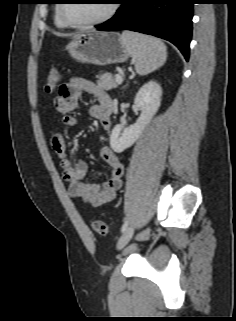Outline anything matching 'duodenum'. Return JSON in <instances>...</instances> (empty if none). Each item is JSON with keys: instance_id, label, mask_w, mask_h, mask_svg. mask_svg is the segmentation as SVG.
<instances>
[{"instance_id": "410a0bca", "label": "duodenum", "mask_w": 236, "mask_h": 321, "mask_svg": "<svg viewBox=\"0 0 236 321\" xmlns=\"http://www.w3.org/2000/svg\"><path fill=\"white\" fill-rule=\"evenodd\" d=\"M110 109L112 110V103L110 104Z\"/></svg>"}]
</instances>
